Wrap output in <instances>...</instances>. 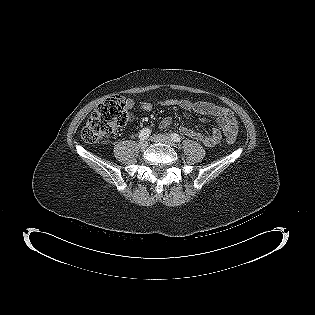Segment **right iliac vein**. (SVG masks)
<instances>
[{
	"label": "right iliac vein",
	"mask_w": 315,
	"mask_h": 315,
	"mask_svg": "<svg viewBox=\"0 0 315 315\" xmlns=\"http://www.w3.org/2000/svg\"><path fill=\"white\" fill-rule=\"evenodd\" d=\"M147 146H148V141L147 140H140L139 147L141 149H145Z\"/></svg>",
	"instance_id": "obj_1"
}]
</instances>
